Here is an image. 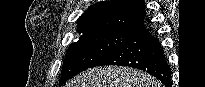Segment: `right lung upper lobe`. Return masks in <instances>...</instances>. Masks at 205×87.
Wrapping results in <instances>:
<instances>
[{"label":"right lung upper lobe","instance_id":"cb5924a9","mask_svg":"<svg viewBox=\"0 0 205 87\" xmlns=\"http://www.w3.org/2000/svg\"><path fill=\"white\" fill-rule=\"evenodd\" d=\"M143 0H105L94 4L77 20V32L113 30L138 32L145 27Z\"/></svg>","mask_w":205,"mask_h":87}]
</instances>
